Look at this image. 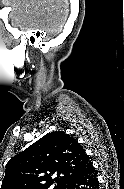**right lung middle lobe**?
Segmentation results:
<instances>
[{
  "label": "right lung middle lobe",
  "instance_id": "1",
  "mask_svg": "<svg viewBox=\"0 0 124 189\" xmlns=\"http://www.w3.org/2000/svg\"><path fill=\"white\" fill-rule=\"evenodd\" d=\"M62 187L63 185H60V184H56L55 186H53V184H49V185L38 187L37 189H62Z\"/></svg>",
  "mask_w": 124,
  "mask_h": 189
}]
</instances>
